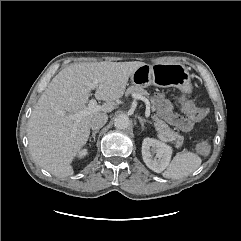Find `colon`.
I'll return each instance as SVG.
<instances>
[{
  "instance_id": "colon-1",
  "label": "colon",
  "mask_w": 241,
  "mask_h": 241,
  "mask_svg": "<svg viewBox=\"0 0 241 241\" xmlns=\"http://www.w3.org/2000/svg\"><path fill=\"white\" fill-rule=\"evenodd\" d=\"M179 103L181 105L182 111L192 120H202L208 113L207 109L197 107L186 97L181 96L179 98ZM196 150L199 154L205 156L210 151V144L205 140L200 141L196 146Z\"/></svg>"
}]
</instances>
